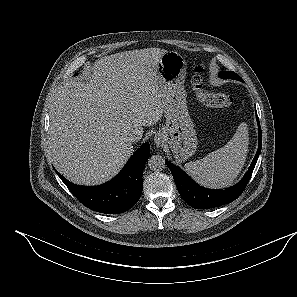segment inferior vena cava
<instances>
[{
  "label": "inferior vena cava",
  "mask_w": 297,
  "mask_h": 297,
  "mask_svg": "<svg viewBox=\"0 0 297 297\" xmlns=\"http://www.w3.org/2000/svg\"><path fill=\"white\" fill-rule=\"evenodd\" d=\"M141 137H142L141 131H139L138 129H133L130 132H128L126 139L127 141L133 143V142L139 141Z\"/></svg>",
  "instance_id": "602c4592"
}]
</instances>
